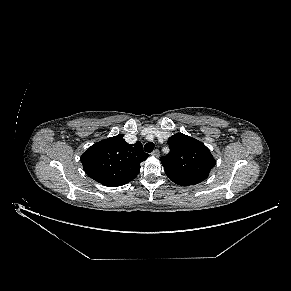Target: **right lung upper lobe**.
<instances>
[{"instance_id":"right-lung-upper-lobe-1","label":"right lung upper lobe","mask_w":291,"mask_h":291,"mask_svg":"<svg viewBox=\"0 0 291 291\" xmlns=\"http://www.w3.org/2000/svg\"><path fill=\"white\" fill-rule=\"evenodd\" d=\"M148 156L141 142L130 145L119 134L89 147L81 156V163L90 178L104 186L117 187L133 180Z\"/></svg>"}]
</instances>
